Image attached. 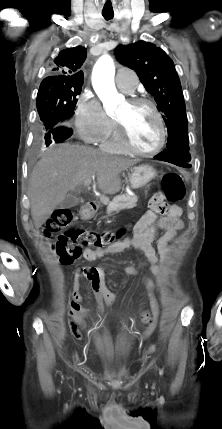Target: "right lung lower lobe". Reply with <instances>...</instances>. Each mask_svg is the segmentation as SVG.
Listing matches in <instances>:
<instances>
[{"label":"right lung lower lobe","mask_w":222,"mask_h":429,"mask_svg":"<svg viewBox=\"0 0 222 429\" xmlns=\"http://www.w3.org/2000/svg\"><path fill=\"white\" fill-rule=\"evenodd\" d=\"M73 131L68 127V123L58 125L49 130L45 134V142L47 146L54 140L57 143L63 142L72 135Z\"/></svg>","instance_id":"98d812e1"}]
</instances>
